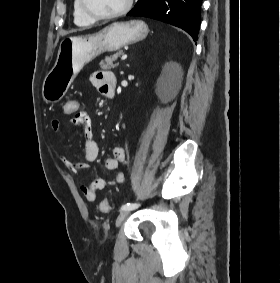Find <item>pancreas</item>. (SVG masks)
Listing matches in <instances>:
<instances>
[{
	"instance_id": "pancreas-1",
	"label": "pancreas",
	"mask_w": 280,
	"mask_h": 283,
	"mask_svg": "<svg viewBox=\"0 0 280 283\" xmlns=\"http://www.w3.org/2000/svg\"><path fill=\"white\" fill-rule=\"evenodd\" d=\"M123 54V51L120 50L116 53H114L113 55L111 56H107L105 57L104 60H102L100 62V66L102 69H112V68H115L118 66V63H115V61L117 60V58Z\"/></svg>"
}]
</instances>
